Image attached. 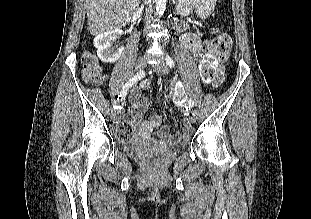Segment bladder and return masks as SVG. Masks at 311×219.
Segmentation results:
<instances>
[{"instance_id":"obj_1","label":"bladder","mask_w":311,"mask_h":219,"mask_svg":"<svg viewBox=\"0 0 311 219\" xmlns=\"http://www.w3.org/2000/svg\"><path fill=\"white\" fill-rule=\"evenodd\" d=\"M183 144H178L177 146L181 147Z\"/></svg>"}]
</instances>
